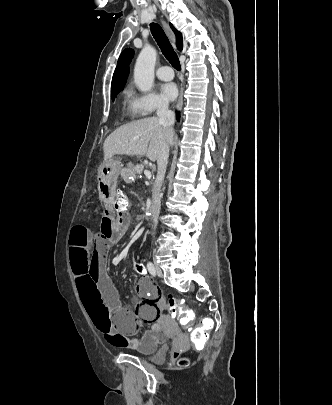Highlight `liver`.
<instances>
[{"instance_id": "1", "label": "liver", "mask_w": 332, "mask_h": 405, "mask_svg": "<svg viewBox=\"0 0 332 405\" xmlns=\"http://www.w3.org/2000/svg\"><path fill=\"white\" fill-rule=\"evenodd\" d=\"M174 133L167 134L158 118L148 117L125 124L112 132L103 145L104 160L114 155L146 156L150 161L158 159L163 143L169 144Z\"/></svg>"}]
</instances>
